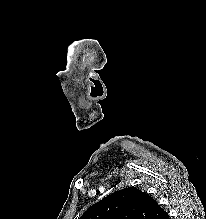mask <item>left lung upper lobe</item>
<instances>
[{
    "mask_svg": "<svg viewBox=\"0 0 206 219\" xmlns=\"http://www.w3.org/2000/svg\"><path fill=\"white\" fill-rule=\"evenodd\" d=\"M154 202L145 192L128 187L93 204L79 219H150Z\"/></svg>",
    "mask_w": 206,
    "mask_h": 219,
    "instance_id": "obj_1",
    "label": "left lung upper lobe"
}]
</instances>
